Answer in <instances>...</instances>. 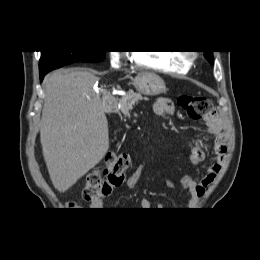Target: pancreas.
I'll use <instances>...</instances> for the list:
<instances>
[{
	"instance_id": "cf45deb5",
	"label": "pancreas",
	"mask_w": 260,
	"mask_h": 260,
	"mask_svg": "<svg viewBox=\"0 0 260 260\" xmlns=\"http://www.w3.org/2000/svg\"><path fill=\"white\" fill-rule=\"evenodd\" d=\"M146 99L139 93H134L133 91H129L127 95L123 96L120 99V111L125 116L130 118L131 110L138 104L139 101Z\"/></svg>"
}]
</instances>
